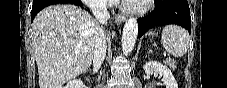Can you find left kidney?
I'll return each instance as SVG.
<instances>
[{
  "label": "left kidney",
  "mask_w": 227,
  "mask_h": 88,
  "mask_svg": "<svg viewBox=\"0 0 227 88\" xmlns=\"http://www.w3.org/2000/svg\"><path fill=\"white\" fill-rule=\"evenodd\" d=\"M143 69L147 75L159 73L163 77L162 81L166 88H178V84L167 66H164L157 61H148L143 66Z\"/></svg>",
  "instance_id": "left-kidney-1"
}]
</instances>
